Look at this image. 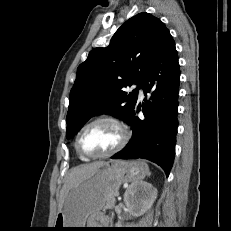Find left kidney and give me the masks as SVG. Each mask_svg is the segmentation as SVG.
<instances>
[{
    "label": "left kidney",
    "instance_id": "1",
    "mask_svg": "<svg viewBox=\"0 0 231 231\" xmlns=\"http://www.w3.org/2000/svg\"><path fill=\"white\" fill-rule=\"evenodd\" d=\"M156 198L157 189L147 182L130 185L124 194L125 205L134 216H140L148 211Z\"/></svg>",
    "mask_w": 231,
    "mask_h": 231
}]
</instances>
